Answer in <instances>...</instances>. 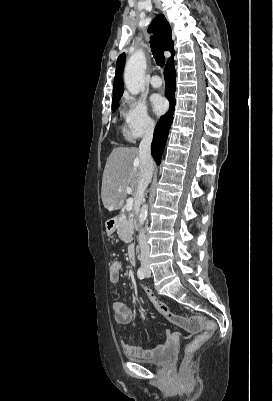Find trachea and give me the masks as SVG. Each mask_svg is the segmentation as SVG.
<instances>
[{
	"mask_svg": "<svg viewBox=\"0 0 273 401\" xmlns=\"http://www.w3.org/2000/svg\"><path fill=\"white\" fill-rule=\"evenodd\" d=\"M150 47L153 54V57L159 67H163L165 65V56L163 49L156 37H151L150 39Z\"/></svg>",
	"mask_w": 273,
	"mask_h": 401,
	"instance_id": "3493384b",
	"label": "trachea"
}]
</instances>
